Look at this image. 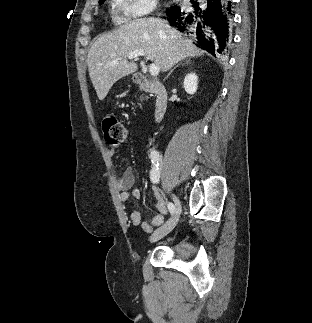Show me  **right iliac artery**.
I'll use <instances>...</instances> for the list:
<instances>
[{"label": "right iliac artery", "instance_id": "1", "mask_svg": "<svg viewBox=\"0 0 312 323\" xmlns=\"http://www.w3.org/2000/svg\"><path fill=\"white\" fill-rule=\"evenodd\" d=\"M150 158L153 163V168L150 172V179L153 183H158V181H159V153L157 151L151 152ZM167 206H168L170 213L173 214L175 211L174 204L169 202Z\"/></svg>", "mask_w": 312, "mask_h": 323}]
</instances>
